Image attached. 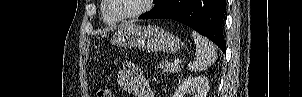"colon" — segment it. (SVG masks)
<instances>
[{"instance_id":"colon-1","label":"colon","mask_w":302,"mask_h":97,"mask_svg":"<svg viewBox=\"0 0 302 97\" xmlns=\"http://www.w3.org/2000/svg\"><path fill=\"white\" fill-rule=\"evenodd\" d=\"M97 97H112V91L110 88H101L98 93Z\"/></svg>"}]
</instances>
